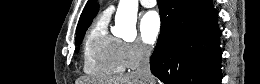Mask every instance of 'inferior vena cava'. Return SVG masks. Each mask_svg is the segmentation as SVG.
Segmentation results:
<instances>
[{
  "mask_svg": "<svg viewBox=\"0 0 260 84\" xmlns=\"http://www.w3.org/2000/svg\"><path fill=\"white\" fill-rule=\"evenodd\" d=\"M149 59L150 51L143 48L141 50L140 65L136 69L135 74L142 78L144 81H146L147 84H156L154 77L150 71Z\"/></svg>",
  "mask_w": 260,
  "mask_h": 84,
  "instance_id": "inferior-vena-cava-1",
  "label": "inferior vena cava"
}]
</instances>
